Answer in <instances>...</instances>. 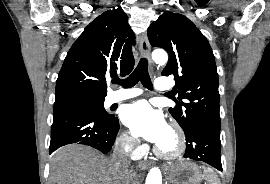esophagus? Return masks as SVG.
Here are the masks:
<instances>
[{
  "label": "esophagus",
  "mask_w": 270,
  "mask_h": 184,
  "mask_svg": "<svg viewBox=\"0 0 270 184\" xmlns=\"http://www.w3.org/2000/svg\"><path fill=\"white\" fill-rule=\"evenodd\" d=\"M139 50L142 57L150 59L151 48L146 33H143L140 37ZM150 166H151L150 161H141L139 163V167L143 170L148 169Z\"/></svg>",
  "instance_id": "obj_1"
}]
</instances>
